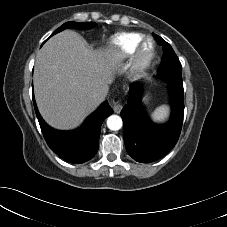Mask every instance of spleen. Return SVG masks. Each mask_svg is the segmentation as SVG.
I'll return each instance as SVG.
<instances>
[{
    "label": "spleen",
    "instance_id": "spleen-1",
    "mask_svg": "<svg viewBox=\"0 0 227 227\" xmlns=\"http://www.w3.org/2000/svg\"><path fill=\"white\" fill-rule=\"evenodd\" d=\"M168 115V108L166 106H161L155 110L152 117L155 121H160L166 118Z\"/></svg>",
    "mask_w": 227,
    "mask_h": 227
}]
</instances>
